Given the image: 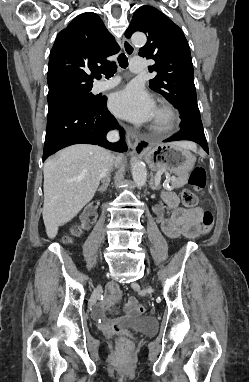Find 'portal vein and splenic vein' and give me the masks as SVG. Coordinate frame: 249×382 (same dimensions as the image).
I'll return each instance as SVG.
<instances>
[{
  "mask_svg": "<svg viewBox=\"0 0 249 382\" xmlns=\"http://www.w3.org/2000/svg\"><path fill=\"white\" fill-rule=\"evenodd\" d=\"M174 180H175V177H174V176L169 178V181H174ZM159 182H160V180H157L156 183L159 184Z\"/></svg>",
  "mask_w": 249,
  "mask_h": 382,
  "instance_id": "1",
  "label": "portal vein and splenic vein"
}]
</instances>
